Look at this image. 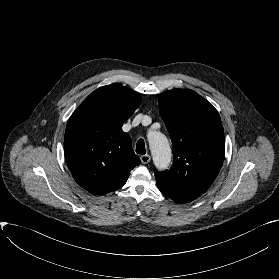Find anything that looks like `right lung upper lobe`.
<instances>
[{
    "mask_svg": "<svg viewBox=\"0 0 279 279\" xmlns=\"http://www.w3.org/2000/svg\"><path fill=\"white\" fill-rule=\"evenodd\" d=\"M141 103L139 93L120 84L91 93L70 117L64 154L75 181L87 191L104 195L121 188L140 164L123 123Z\"/></svg>",
    "mask_w": 279,
    "mask_h": 279,
    "instance_id": "1",
    "label": "right lung upper lobe"
}]
</instances>
